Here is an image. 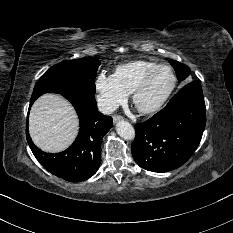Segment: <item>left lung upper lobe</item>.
Wrapping results in <instances>:
<instances>
[{"label":"left lung upper lobe","mask_w":233,"mask_h":233,"mask_svg":"<svg viewBox=\"0 0 233 233\" xmlns=\"http://www.w3.org/2000/svg\"><path fill=\"white\" fill-rule=\"evenodd\" d=\"M171 65L174 67L177 78L179 81L185 80L190 74V68L180 62L170 61Z\"/></svg>","instance_id":"left-lung-upper-lobe-1"}]
</instances>
